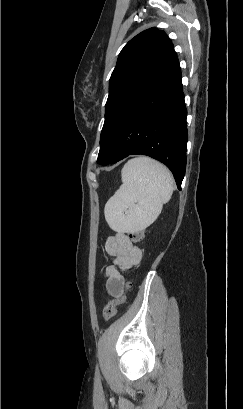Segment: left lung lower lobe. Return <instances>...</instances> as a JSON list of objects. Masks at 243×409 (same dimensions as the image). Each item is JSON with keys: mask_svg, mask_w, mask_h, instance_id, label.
<instances>
[{"mask_svg": "<svg viewBox=\"0 0 243 409\" xmlns=\"http://www.w3.org/2000/svg\"><path fill=\"white\" fill-rule=\"evenodd\" d=\"M186 116L181 70L174 52L123 118L110 164L133 154L150 156L171 170L181 189L186 168Z\"/></svg>", "mask_w": 243, "mask_h": 409, "instance_id": "left-lung-lower-lobe-1", "label": "left lung lower lobe"}]
</instances>
